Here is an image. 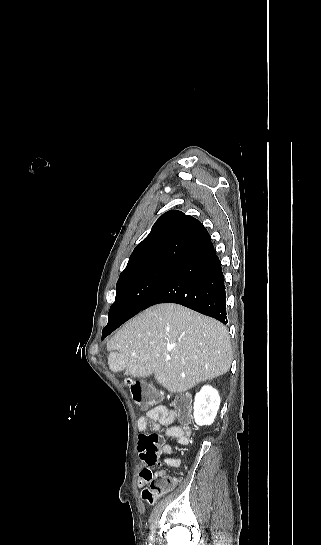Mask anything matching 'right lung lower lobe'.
<instances>
[{
  "label": "right lung lower lobe",
  "mask_w": 321,
  "mask_h": 545,
  "mask_svg": "<svg viewBox=\"0 0 321 545\" xmlns=\"http://www.w3.org/2000/svg\"><path fill=\"white\" fill-rule=\"evenodd\" d=\"M159 303L181 304L227 323L224 275L212 243L178 267L141 310ZM126 321L108 323L102 339Z\"/></svg>",
  "instance_id": "1"
}]
</instances>
